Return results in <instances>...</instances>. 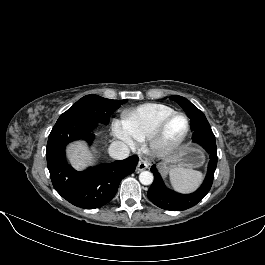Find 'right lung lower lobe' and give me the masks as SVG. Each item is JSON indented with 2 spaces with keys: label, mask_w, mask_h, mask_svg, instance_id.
<instances>
[{
  "label": "right lung lower lobe",
  "mask_w": 265,
  "mask_h": 265,
  "mask_svg": "<svg viewBox=\"0 0 265 265\" xmlns=\"http://www.w3.org/2000/svg\"><path fill=\"white\" fill-rule=\"evenodd\" d=\"M92 121L70 120L56 123L48 137L46 157L47 167L55 190L73 205L95 209L105 205L116 194L121 180L135 171L137 156L121 161L100 164L78 172L66 161L65 148L75 140H85L92 144Z\"/></svg>",
  "instance_id": "obj_1"
}]
</instances>
